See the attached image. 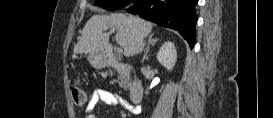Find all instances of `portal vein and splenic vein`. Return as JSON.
<instances>
[{
	"label": "portal vein and splenic vein",
	"instance_id": "1",
	"mask_svg": "<svg viewBox=\"0 0 273 118\" xmlns=\"http://www.w3.org/2000/svg\"><path fill=\"white\" fill-rule=\"evenodd\" d=\"M114 31H115V30H111V31H110V34L113 33ZM118 50H119V51H122L121 48H118Z\"/></svg>",
	"mask_w": 273,
	"mask_h": 118
}]
</instances>
